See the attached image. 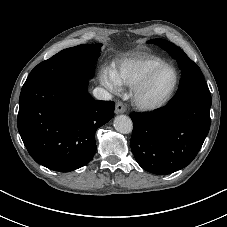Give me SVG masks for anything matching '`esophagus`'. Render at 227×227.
I'll use <instances>...</instances> for the list:
<instances>
[{"mask_svg": "<svg viewBox=\"0 0 227 227\" xmlns=\"http://www.w3.org/2000/svg\"><path fill=\"white\" fill-rule=\"evenodd\" d=\"M125 111H126V108H125L124 104L122 102L118 101L115 106V113L121 114V113H124Z\"/></svg>", "mask_w": 227, "mask_h": 227, "instance_id": "34e87169", "label": "esophagus"}]
</instances>
